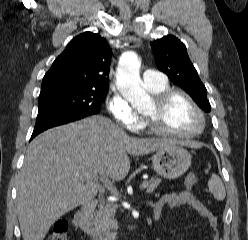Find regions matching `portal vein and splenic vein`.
<instances>
[{"mask_svg":"<svg viewBox=\"0 0 248 240\" xmlns=\"http://www.w3.org/2000/svg\"><path fill=\"white\" fill-rule=\"evenodd\" d=\"M93 177H96V175L93 174ZM100 180L106 182L107 184H109V185H110V190H111L112 192H116V191H117L115 187H112V184H111L109 181H107V180H105V179H103V178H100ZM144 187H145V185H144V183H142V184L140 185V188H144Z\"/></svg>","mask_w":248,"mask_h":240,"instance_id":"obj_1","label":"portal vein and splenic vein"}]
</instances>
